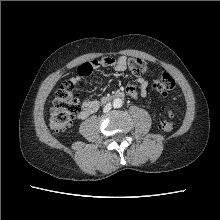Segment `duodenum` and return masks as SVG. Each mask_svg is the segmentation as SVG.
I'll use <instances>...</instances> for the list:
<instances>
[{
    "label": "duodenum",
    "instance_id": "duodenum-1",
    "mask_svg": "<svg viewBox=\"0 0 220 220\" xmlns=\"http://www.w3.org/2000/svg\"><path fill=\"white\" fill-rule=\"evenodd\" d=\"M115 97H118V98L123 97V94H122V93H119V94H116L115 96L104 97V98L101 100L100 104H101V105H104V104L108 103L111 99H113V98H115Z\"/></svg>",
    "mask_w": 220,
    "mask_h": 220
}]
</instances>
